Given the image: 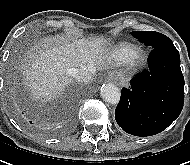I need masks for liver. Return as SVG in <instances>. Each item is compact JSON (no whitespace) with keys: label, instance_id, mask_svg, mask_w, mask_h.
I'll list each match as a JSON object with an SVG mask.
<instances>
[{"label":"liver","instance_id":"liver-1","mask_svg":"<svg viewBox=\"0 0 190 165\" xmlns=\"http://www.w3.org/2000/svg\"><path fill=\"white\" fill-rule=\"evenodd\" d=\"M107 40L46 38L35 45L22 64L23 75L37 100H52L72 82L70 69L91 68L92 74L105 68Z\"/></svg>","mask_w":190,"mask_h":165}]
</instances>
